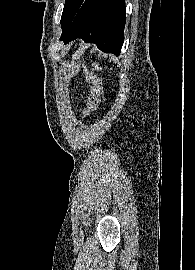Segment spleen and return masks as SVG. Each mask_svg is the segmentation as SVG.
Instances as JSON below:
<instances>
[{
    "instance_id": "obj_1",
    "label": "spleen",
    "mask_w": 195,
    "mask_h": 270,
    "mask_svg": "<svg viewBox=\"0 0 195 270\" xmlns=\"http://www.w3.org/2000/svg\"><path fill=\"white\" fill-rule=\"evenodd\" d=\"M92 67H93L94 70H97V71L102 70V68L99 67V64H98V63H93V64H92Z\"/></svg>"
}]
</instances>
